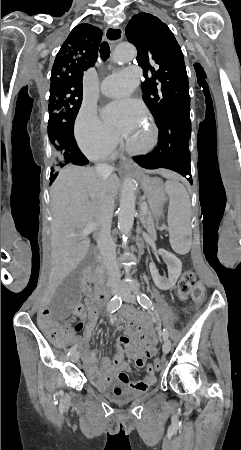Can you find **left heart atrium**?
I'll return each instance as SVG.
<instances>
[{"label":"left heart atrium","instance_id":"left-heart-atrium-1","mask_svg":"<svg viewBox=\"0 0 241 450\" xmlns=\"http://www.w3.org/2000/svg\"><path fill=\"white\" fill-rule=\"evenodd\" d=\"M137 111L141 115L144 114L140 104L133 101L115 102L103 111V117L115 129H127V124L123 118V114L128 111Z\"/></svg>","mask_w":241,"mask_h":450}]
</instances>
